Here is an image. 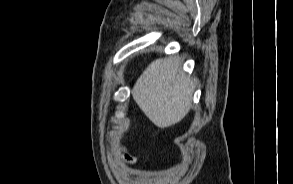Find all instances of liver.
<instances>
[{"label": "liver", "mask_w": 293, "mask_h": 184, "mask_svg": "<svg viewBox=\"0 0 293 184\" xmlns=\"http://www.w3.org/2000/svg\"><path fill=\"white\" fill-rule=\"evenodd\" d=\"M193 81L182 72L179 57L156 59L137 79L132 96L159 128L179 123L190 111Z\"/></svg>", "instance_id": "obj_1"}]
</instances>
